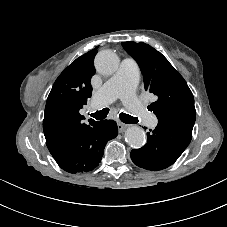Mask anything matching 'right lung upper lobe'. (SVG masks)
<instances>
[{
    "label": "right lung upper lobe",
    "mask_w": 227,
    "mask_h": 227,
    "mask_svg": "<svg viewBox=\"0 0 227 227\" xmlns=\"http://www.w3.org/2000/svg\"><path fill=\"white\" fill-rule=\"evenodd\" d=\"M93 49L74 60L56 79L45 106L43 131L50 152L75 139L82 131L97 123L82 120L79 110L92 94L91 77L95 73Z\"/></svg>",
    "instance_id": "obj_1"
}]
</instances>
